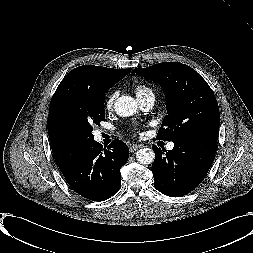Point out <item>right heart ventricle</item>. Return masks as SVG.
I'll return each instance as SVG.
<instances>
[{
	"label": "right heart ventricle",
	"mask_w": 253,
	"mask_h": 253,
	"mask_svg": "<svg viewBox=\"0 0 253 253\" xmlns=\"http://www.w3.org/2000/svg\"><path fill=\"white\" fill-rule=\"evenodd\" d=\"M134 91L139 100L149 96H155L154 91L146 85H137Z\"/></svg>",
	"instance_id": "e07e8e85"
}]
</instances>
